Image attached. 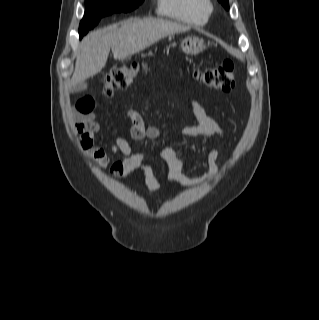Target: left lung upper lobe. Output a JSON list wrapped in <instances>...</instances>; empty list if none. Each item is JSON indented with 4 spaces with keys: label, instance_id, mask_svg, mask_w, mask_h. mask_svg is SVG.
<instances>
[{
    "label": "left lung upper lobe",
    "instance_id": "5c2ea615",
    "mask_svg": "<svg viewBox=\"0 0 319 320\" xmlns=\"http://www.w3.org/2000/svg\"><path fill=\"white\" fill-rule=\"evenodd\" d=\"M223 6L225 9H229V3H228V0H218Z\"/></svg>",
    "mask_w": 319,
    "mask_h": 320
}]
</instances>
